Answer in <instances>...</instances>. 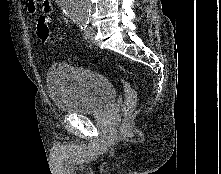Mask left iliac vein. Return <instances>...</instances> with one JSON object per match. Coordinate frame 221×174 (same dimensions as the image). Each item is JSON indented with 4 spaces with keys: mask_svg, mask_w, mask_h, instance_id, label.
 <instances>
[{
    "mask_svg": "<svg viewBox=\"0 0 221 174\" xmlns=\"http://www.w3.org/2000/svg\"><path fill=\"white\" fill-rule=\"evenodd\" d=\"M85 36L88 40H93L95 36V30L89 26L85 31Z\"/></svg>",
    "mask_w": 221,
    "mask_h": 174,
    "instance_id": "1",
    "label": "left iliac vein"
}]
</instances>
